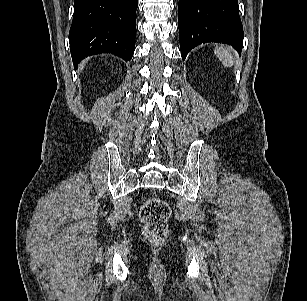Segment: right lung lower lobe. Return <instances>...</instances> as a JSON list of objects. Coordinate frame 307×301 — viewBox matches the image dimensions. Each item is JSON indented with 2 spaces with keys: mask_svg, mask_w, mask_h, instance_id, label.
I'll list each match as a JSON object with an SVG mask.
<instances>
[{
  "mask_svg": "<svg viewBox=\"0 0 307 301\" xmlns=\"http://www.w3.org/2000/svg\"><path fill=\"white\" fill-rule=\"evenodd\" d=\"M138 0H74L69 32L74 67L85 57L113 53L131 60Z\"/></svg>",
  "mask_w": 307,
  "mask_h": 301,
  "instance_id": "right-lung-lower-lobe-1",
  "label": "right lung lower lobe"
}]
</instances>
